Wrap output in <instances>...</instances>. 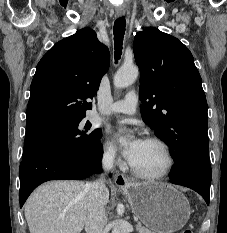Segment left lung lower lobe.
I'll use <instances>...</instances> for the list:
<instances>
[{
    "mask_svg": "<svg viewBox=\"0 0 227 233\" xmlns=\"http://www.w3.org/2000/svg\"><path fill=\"white\" fill-rule=\"evenodd\" d=\"M171 179V182L174 184L182 185L198 192L209 205L210 184H207L205 180L195 177L176 178L172 176Z\"/></svg>",
    "mask_w": 227,
    "mask_h": 233,
    "instance_id": "left-lung-lower-lobe-1",
    "label": "left lung lower lobe"
}]
</instances>
